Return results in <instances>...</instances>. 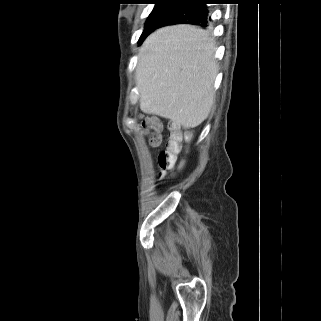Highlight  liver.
I'll return each instance as SVG.
<instances>
[{
    "instance_id": "liver-1",
    "label": "liver",
    "mask_w": 321,
    "mask_h": 321,
    "mask_svg": "<svg viewBox=\"0 0 321 321\" xmlns=\"http://www.w3.org/2000/svg\"><path fill=\"white\" fill-rule=\"evenodd\" d=\"M215 49L210 34L192 25L168 26L149 35L135 76L141 110L178 126H199L214 103Z\"/></svg>"
}]
</instances>
